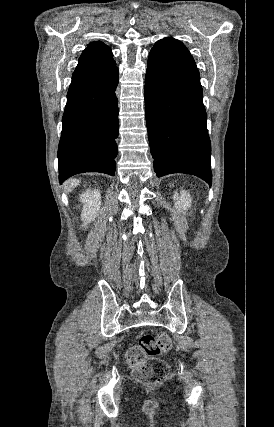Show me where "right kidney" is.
<instances>
[{
	"instance_id": "1",
	"label": "right kidney",
	"mask_w": 274,
	"mask_h": 427,
	"mask_svg": "<svg viewBox=\"0 0 274 427\" xmlns=\"http://www.w3.org/2000/svg\"><path fill=\"white\" fill-rule=\"evenodd\" d=\"M80 202H82L81 217L83 221V227H87L88 223L93 221L94 217H97L101 208V194L99 190H86L80 196Z\"/></svg>"
}]
</instances>
